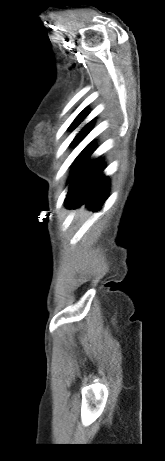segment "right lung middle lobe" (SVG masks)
<instances>
[{
  "instance_id": "right-lung-middle-lobe-1",
  "label": "right lung middle lobe",
  "mask_w": 165,
  "mask_h": 461,
  "mask_svg": "<svg viewBox=\"0 0 165 461\" xmlns=\"http://www.w3.org/2000/svg\"><path fill=\"white\" fill-rule=\"evenodd\" d=\"M84 120L83 117H80L78 116L73 124L74 125H79L82 121ZM93 126V120L90 121L89 123H87L81 130L80 132L76 135V137L74 138V141L75 143H79L85 136L86 134L88 133L89 129ZM76 127V126H75Z\"/></svg>"
}]
</instances>
